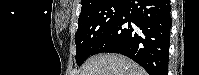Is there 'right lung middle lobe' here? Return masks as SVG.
Listing matches in <instances>:
<instances>
[{"label": "right lung middle lobe", "mask_w": 199, "mask_h": 75, "mask_svg": "<svg viewBox=\"0 0 199 75\" xmlns=\"http://www.w3.org/2000/svg\"><path fill=\"white\" fill-rule=\"evenodd\" d=\"M126 2L127 0H103L81 10L75 34L76 62L79 66L93 55L96 47L114 27Z\"/></svg>", "instance_id": "right-lung-middle-lobe-1"}]
</instances>
